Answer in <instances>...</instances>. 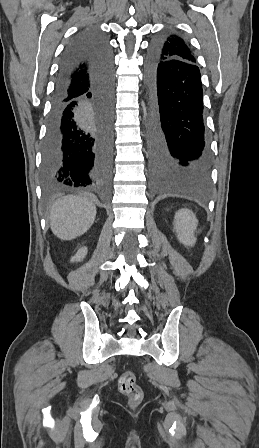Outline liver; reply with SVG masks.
<instances>
[{
    "mask_svg": "<svg viewBox=\"0 0 259 448\" xmlns=\"http://www.w3.org/2000/svg\"><path fill=\"white\" fill-rule=\"evenodd\" d=\"M50 214L53 234L61 240H74L91 228L96 208L88 198L64 196L53 204Z\"/></svg>",
    "mask_w": 259,
    "mask_h": 448,
    "instance_id": "1",
    "label": "liver"
}]
</instances>
